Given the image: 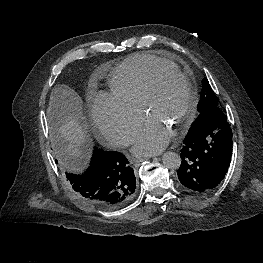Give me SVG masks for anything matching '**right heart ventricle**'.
Returning <instances> with one entry per match:
<instances>
[{
    "label": "right heart ventricle",
    "instance_id": "e07e8e85",
    "mask_svg": "<svg viewBox=\"0 0 263 263\" xmlns=\"http://www.w3.org/2000/svg\"><path fill=\"white\" fill-rule=\"evenodd\" d=\"M177 68L169 61L152 55H133L120 63L110 74L108 83L111 94L118 100L140 108L147 83L158 67Z\"/></svg>",
    "mask_w": 263,
    "mask_h": 263
}]
</instances>
